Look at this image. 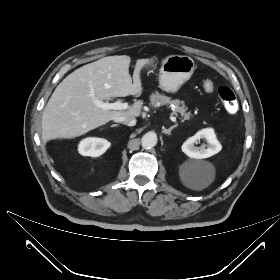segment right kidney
<instances>
[{
    "label": "right kidney",
    "mask_w": 280,
    "mask_h": 280,
    "mask_svg": "<svg viewBox=\"0 0 280 280\" xmlns=\"http://www.w3.org/2000/svg\"><path fill=\"white\" fill-rule=\"evenodd\" d=\"M110 147V142L103 138L89 137L78 145V151L83 156L98 157Z\"/></svg>",
    "instance_id": "ca27d5eb"
}]
</instances>
